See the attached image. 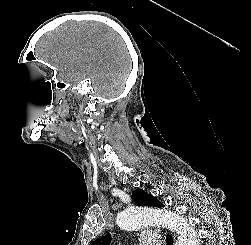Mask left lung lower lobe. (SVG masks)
I'll use <instances>...</instances> for the list:
<instances>
[{"label": "left lung lower lobe", "mask_w": 251, "mask_h": 245, "mask_svg": "<svg viewBox=\"0 0 251 245\" xmlns=\"http://www.w3.org/2000/svg\"><path fill=\"white\" fill-rule=\"evenodd\" d=\"M166 242H167V245H172V243H173V238H172L170 235H167V236H166Z\"/></svg>", "instance_id": "left-lung-lower-lobe-1"}]
</instances>
